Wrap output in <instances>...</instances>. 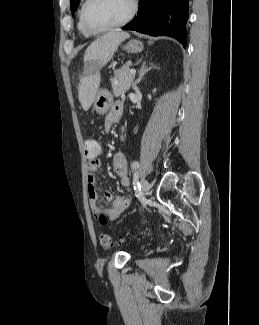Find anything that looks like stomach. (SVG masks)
<instances>
[{"label":"stomach","mask_w":259,"mask_h":325,"mask_svg":"<svg viewBox=\"0 0 259 325\" xmlns=\"http://www.w3.org/2000/svg\"><path fill=\"white\" fill-rule=\"evenodd\" d=\"M128 53H139L143 51L144 44L139 40H131L125 45ZM113 96L106 89H99L93 101V108L98 114H106L111 108Z\"/></svg>","instance_id":"obj_1"}]
</instances>
